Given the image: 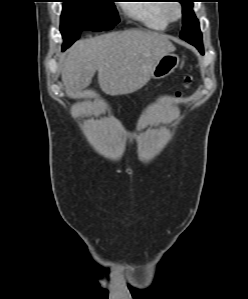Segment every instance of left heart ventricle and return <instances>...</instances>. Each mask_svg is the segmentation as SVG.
I'll list each match as a JSON object with an SVG mask.
<instances>
[{
	"mask_svg": "<svg viewBox=\"0 0 248 299\" xmlns=\"http://www.w3.org/2000/svg\"><path fill=\"white\" fill-rule=\"evenodd\" d=\"M172 14H174V15H175V14H176V11H175V10H173V11H172Z\"/></svg>",
	"mask_w": 248,
	"mask_h": 299,
	"instance_id": "obj_1",
	"label": "left heart ventricle"
}]
</instances>
